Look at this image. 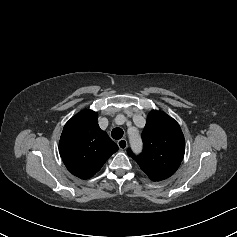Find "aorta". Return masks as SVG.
Returning <instances> with one entry per match:
<instances>
[{"label":"aorta","instance_id":"aorta-1","mask_svg":"<svg viewBox=\"0 0 237 237\" xmlns=\"http://www.w3.org/2000/svg\"><path fill=\"white\" fill-rule=\"evenodd\" d=\"M128 135L132 151L136 154L142 152L143 143L139 132L134 128H130L128 130Z\"/></svg>","mask_w":237,"mask_h":237}]
</instances>
